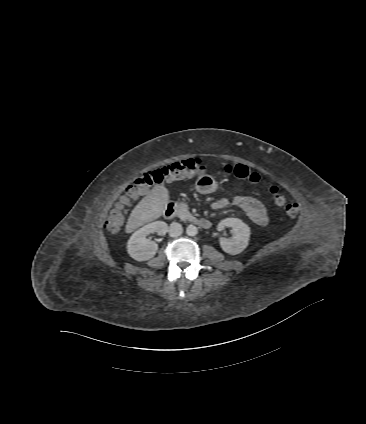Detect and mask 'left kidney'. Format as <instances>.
Segmentation results:
<instances>
[{"mask_svg":"<svg viewBox=\"0 0 366 424\" xmlns=\"http://www.w3.org/2000/svg\"><path fill=\"white\" fill-rule=\"evenodd\" d=\"M226 227L233 229L231 238H220V246L224 252L237 255L241 253L249 243L250 228L238 218H226L219 222L217 228L219 231Z\"/></svg>","mask_w":366,"mask_h":424,"instance_id":"5707ae66","label":"left kidney"}]
</instances>
